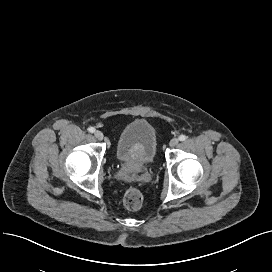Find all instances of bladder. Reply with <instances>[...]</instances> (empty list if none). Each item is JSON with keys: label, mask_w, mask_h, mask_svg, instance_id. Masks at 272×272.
Returning a JSON list of instances; mask_svg holds the SVG:
<instances>
[{"label": "bladder", "mask_w": 272, "mask_h": 272, "mask_svg": "<svg viewBox=\"0 0 272 272\" xmlns=\"http://www.w3.org/2000/svg\"><path fill=\"white\" fill-rule=\"evenodd\" d=\"M157 145V134L152 124L146 119H135L121 131L115 155L120 163L145 167L154 160Z\"/></svg>", "instance_id": "1"}]
</instances>
